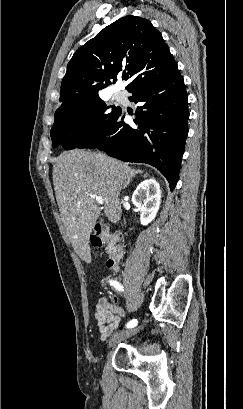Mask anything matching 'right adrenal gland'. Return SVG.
Masks as SVG:
<instances>
[{
	"instance_id": "2a0ac1e0",
	"label": "right adrenal gland",
	"mask_w": 243,
	"mask_h": 409,
	"mask_svg": "<svg viewBox=\"0 0 243 409\" xmlns=\"http://www.w3.org/2000/svg\"><path fill=\"white\" fill-rule=\"evenodd\" d=\"M139 173H142V171H140V170L136 171V174H139ZM130 181H131V180H130ZM130 181H127V182L124 184V186H123L122 189H126V188L129 186Z\"/></svg>"
}]
</instances>
